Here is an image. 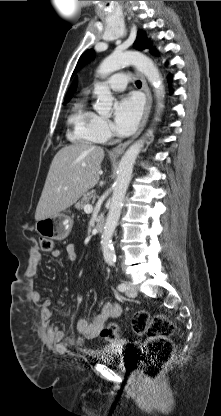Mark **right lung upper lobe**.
<instances>
[{
	"mask_svg": "<svg viewBox=\"0 0 221 416\" xmlns=\"http://www.w3.org/2000/svg\"><path fill=\"white\" fill-rule=\"evenodd\" d=\"M76 86H77V81L75 80L72 84V86L70 87L69 91L66 94L65 100L68 101V99L70 98V96L75 92L76 90Z\"/></svg>",
	"mask_w": 221,
	"mask_h": 416,
	"instance_id": "obj_1",
	"label": "right lung upper lobe"
}]
</instances>
